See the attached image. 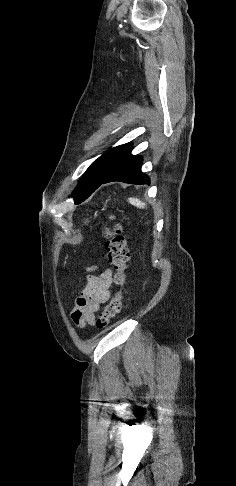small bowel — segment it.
<instances>
[{
  "mask_svg": "<svg viewBox=\"0 0 236 486\" xmlns=\"http://www.w3.org/2000/svg\"><path fill=\"white\" fill-rule=\"evenodd\" d=\"M112 282L113 274L109 269L97 275H89L87 284L78 295L71 314L73 322L78 327L84 328L94 323L95 313L110 298Z\"/></svg>",
  "mask_w": 236,
  "mask_h": 486,
  "instance_id": "c3829d8e",
  "label": "small bowel"
}]
</instances>
